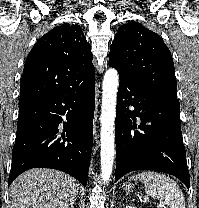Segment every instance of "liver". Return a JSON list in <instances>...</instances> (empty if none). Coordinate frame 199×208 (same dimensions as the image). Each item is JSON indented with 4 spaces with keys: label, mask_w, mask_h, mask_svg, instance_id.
Segmentation results:
<instances>
[{
    "label": "liver",
    "mask_w": 199,
    "mask_h": 208,
    "mask_svg": "<svg viewBox=\"0 0 199 208\" xmlns=\"http://www.w3.org/2000/svg\"><path fill=\"white\" fill-rule=\"evenodd\" d=\"M78 182L61 171L34 168L19 175L9 189V208H69Z\"/></svg>",
    "instance_id": "1"
}]
</instances>
